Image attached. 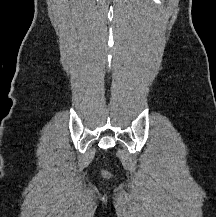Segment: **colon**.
<instances>
[{
    "mask_svg": "<svg viewBox=\"0 0 216 217\" xmlns=\"http://www.w3.org/2000/svg\"><path fill=\"white\" fill-rule=\"evenodd\" d=\"M102 174H103L104 177H108V173L103 172Z\"/></svg>",
    "mask_w": 216,
    "mask_h": 217,
    "instance_id": "obj_1",
    "label": "colon"
}]
</instances>
